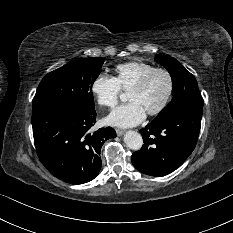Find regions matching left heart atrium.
<instances>
[{"instance_id":"left-heart-atrium-1","label":"left heart atrium","mask_w":233,"mask_h":233,"mask_svg":"<svg viewBox=\"0 0 233 233\" xmlns=\"http://www.w3.org/2000/svg\"><path fill=\"white\" fill-rule=\"evenodd\" d=\"M146 111L134 101L114 108L106 117V123L112 126L128 128L141 123Z\"/></svg>"}]
</instances>
